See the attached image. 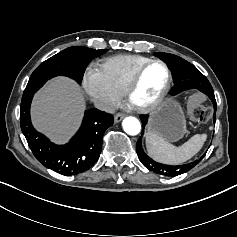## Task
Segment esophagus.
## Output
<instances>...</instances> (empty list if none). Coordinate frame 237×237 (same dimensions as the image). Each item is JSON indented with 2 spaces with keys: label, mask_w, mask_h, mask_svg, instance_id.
Here are the masks:
<instances>
[{
  "label": "esophagus",
  "mask_w": 237,
  "mask_h": 237,
  "mask_svg": "<svg viewBox=\"0 0 237 237\" xmlns=\"http://www.w3.org/2000/svg\"><path fill=\"white\" fill-rule=\"evenodd\" d=\"M126 115L124 113H117L114 117L116 123L120 122Z\"/></svg>",
  "instance_id": "34e87169"
}]
</instances>
